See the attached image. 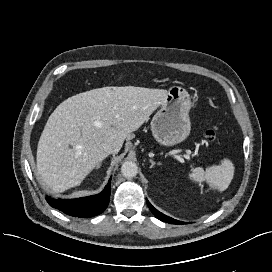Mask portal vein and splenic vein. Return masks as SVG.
Instances as JSON below:
<instances>
[{
    "label": "portal vein and splenic vein",
    "mask_w": 272,
    "mask_h": 272,
    "mask_svg": "<svg viewBox=\"0 0 272 272\" xmlns=\"http://www.w3.org/2000/svg\"><path fill=\"white\" fill-rule=\"evenodd\" d=\"M174 157L177 159V160H179V161H183V157L185 158V159H191V156L189 155V154H185V155H174Z\"/></svg>",
    "instance_id": "1"
}]
</instances>
